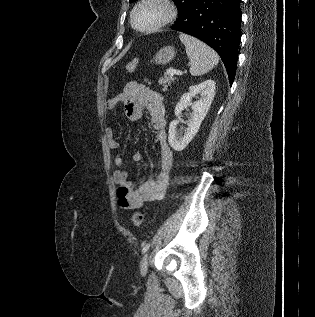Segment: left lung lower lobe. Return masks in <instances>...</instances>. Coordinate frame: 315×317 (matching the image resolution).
Instances as JSON below:
<instances>
[{"instance_id":"1","label":"left lung lower lobe","mask_w":315,"mask_h":317,"mask_svg":"<svg viewBox=\"0 0 315 317\" xmlns=\"http://www.w3.org/2000/svg\"><path fill=\"white\" fill-rule=\"evenodd\" d=\"M240 0H194L171 29L192 35L221 57L233 83L241 39Z\"/></svg>"}]
</instances>
